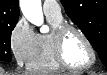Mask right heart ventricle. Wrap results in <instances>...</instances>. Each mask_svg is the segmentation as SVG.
Masks as SVG:
<instances>
[{
    "label": "right heart ventricle",
    "instance_id": "obj_1",
    "mask_svg": "<svg viewBox=\"0 0 107 75\" xmlns=\"http://www.w3.org/2000/svg\"><path fill=\"white\" fill-rule=\"evenodd\" d=\"M51 24L52 31L49 34H38L33 53L27 67L34 72H55L61 70L56 62L53 49V32L63 24V18L46 15Z\"/></svg>",
    "mask_w": 107,
    "mask_h": 75
}]
</instances>
